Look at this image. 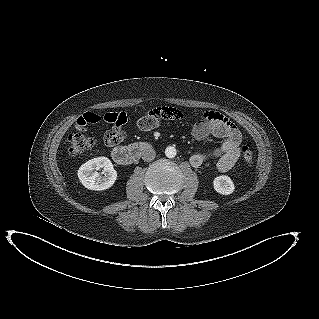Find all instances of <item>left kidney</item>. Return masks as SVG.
I'll use <instances>...</instances> for the list:
<instances>
[{
  "label": "left kidney",
  "instance_id": "obj_1",
  "mask_svg": "<svg viewBox=\"0 0 319 319\" xmlns=\"http://www.w3.org/2000/svg\"><path fill=\"white\" fill-rule=\"evenodd\" d=\"M213 186L217 193L229 195L234 192V183L230 177L226 175L217 176L213 180Z\"/></svg>",
  "mask_w": 319,
  "mask_h": 319
}]
</instances>
